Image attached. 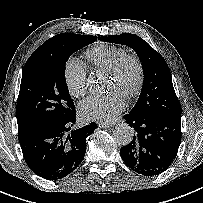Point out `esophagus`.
Returning a JSON list of instances; mask_svg holds the SVG:
<instances>
[{
	"instance_id": "34e87169",
	"label": "esophagus",
	"mask_w": 203,
	"mask_h": 203,
	"mask_svg": "<svg viewBox=\"0 0 203 203\" xmlns=\"http://www.w3.org/2000/svg\"><path fill=\"white\" fill-rule=\"evenodd\" d=\"M114 124H110V123H102V122H99L98 123V127L99 128H103V129H107V128H110L112 127Z\"/></svg>"
}]
</instances>
